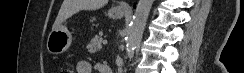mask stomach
Returning <instances> with one entry per match:
<instances>
[{"label": "stomach", "mask_w": 244, "mask_h": 73, "mask_svg": "<svg viewBox=\"0 0 244 73\" xmlns=\"http://www.w3.org/2000/svg\"><path fill=\"white\" fill-rule=\"evenodd\" d=\"M124 11L112 8L108 15L111 18L118 19L124 16ZM72 43L71 33L67 27L60 25L57 29H53L47 39V50L53 55H59L67 51Z\"/></svg>", "instance_id": "obj_1"}]
</instances>
